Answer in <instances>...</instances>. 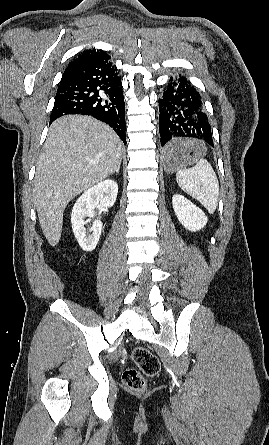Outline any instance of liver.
Returning a JSON list of instances; mask_svg holds the SVG:
<instances>
[{"mask_svg":"<svg viewBox=\"0 0 269 445\" xmlns=\"http://www.w3.org/2000/svg\"><path fill=\"white\" fill-rule=\"evenodd\" d=\"M121 150L113 129L92 117L68 115L53 122L33 189L40 226L51 246L60 240L68 203L112 174L121 164Z\"/></svg>","mask_w":269,"mask_h":445,"instance_id":"6515ba94","label":"liver"}]
</instances>
